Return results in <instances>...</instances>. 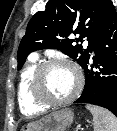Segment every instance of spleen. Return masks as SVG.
<instances>
[{"label": "spleen", "mask_w": 117, "mask_h": 131, "mask_svg": "<svg viewBox=\"0 0 117 131\" xmlns=\"http://www.w3.org/2000/svg\"><path fill=\"white\" fill-rule=\"evenodd\" d=\"M86 108L93 115L94 131H117V117L109 110L94 105Z\"/></svg>", "instance_id": "spleen-1"}]
</instances>
